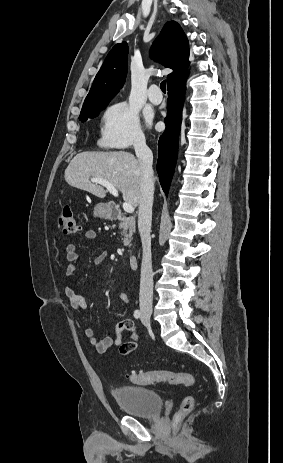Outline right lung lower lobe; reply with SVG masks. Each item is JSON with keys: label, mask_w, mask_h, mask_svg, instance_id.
I'll return each mask as SVG.
<instances>
[{"label": "right lung lower lobe", "mask_w": 283, "mask_h": 463, "mask_svg": "<svg viewBox=\"0 0 283 463\" xmlns=\"http://www.w3.org/2000/svg\"><path fill=\"white\" fill-rule=\"evenodd\" d=\"M184 85L185 80L168 85V112L164 121L166 130L160 136L158 142L157 172L160 178V184L166 195L177 159L178 135L185 91Z\"/></svg>", "instance_id": "obj_1"}]
</instances>
